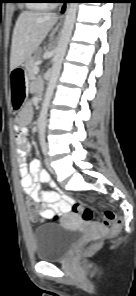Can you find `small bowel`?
<instances>
[{
  "instance_id": "c3829d8e",
  "label": "small bowel",
  "mask_w": 136,
  "mask_h": 296,
  "mask_svg": "<svg viewBox=\"0 0 136 296\" xmlns=\"http://www.w3.org/2000/svg\"><path fill=\"white\" fill-rule=\"evenodd\" d=\"M31 116L32 109L28 105L17 118L19 135L16 139V154L19 175L21 177L20 185L25 195L45 204L40 211V216L47 220H52L60 218L69 212L72 197L61 193L57 189L48 172L42 169L38 158H33L29 164L27 163V155L32 150V146L25 140V135L28 131L27 123L30 121ZM41 183H49L51 189L43 190ZM30 219L36 221L38 215H31Z\"/></svg>"
}]
</instances>
